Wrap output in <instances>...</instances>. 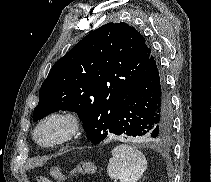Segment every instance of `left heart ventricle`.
I'll return each instance as SVG.
<instances>
[{
	"mask_svg": "<svg viewBox=\"0 0 211 182\" xmlns=\"http://www.w3.org/2000/svg\"><path fill=\"white\" fill-rule=\"evenodd\" d=\"M67 128L66 123L62 121H53L47 124L41 131H40V138L42 140H51L59 137Z\"/></svg>",
	"mask_w": 211,
	"mask_h": 182,
	"instance_id": "b2bd125f",
	"label": "left heart ventricle"
}]
</instances>
